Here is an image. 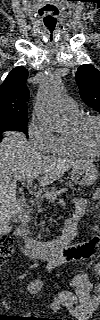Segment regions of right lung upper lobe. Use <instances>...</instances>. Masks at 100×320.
<instances>
[{"mask_svg": "<svg viewBox=\"0 0 100 320\" xmlns=\"http://www.w3.org/2000/svg\"><path fill=\"white\" fill-rule=\"evenodd\" d=\"M27 77V70L19 66L14 68L0 85V120L27 118Z\"/></svg>", "mask_w": 100, "mask_h": 320, "instance_id": "1", "label": "right lung upper lobe"}]
</instances>
